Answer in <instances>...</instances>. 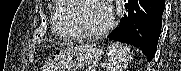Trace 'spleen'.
<instances>
[{
  "label": "spleen",
  "mask_w": 181,
  "mask_h": 71,
  "mask_svg": "<svg viewBox=\"0 0 181 71\" xmlns=\"http://www.w3.org/2000/svg\"><path fill=\"white\" fill-rule=\"evenodd\" d=\"M109 60L106 66L107 71H123L132 60L131 49L119 43H112L108 47Z\"/></svg>",
  "instance_id": "spleen-1"
}]
</instances>
